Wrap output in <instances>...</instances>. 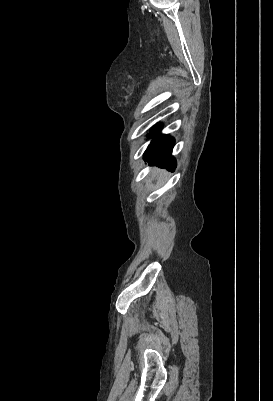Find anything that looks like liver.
I'll use <instances>...</instances> for the list:
<instances>
[{"instance_id": "1", "label": "liver", "mask_w": 273, "mask_h": 401, "mask_svg": "<svg viewBox=\"0 0 273 401\" xmlns=\"http://www.w3.org/2000/svg\"><path fill=\"white\" fill-rule=\"evenodd\" d=\"M158 170H159V168H154V170H153L154 174H157Z\"/></svg>"}]
</instances>
